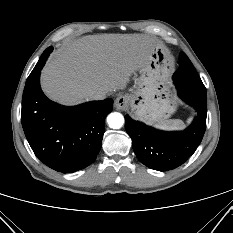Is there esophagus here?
Segmentation results:
<instances>
[{
    "label": "esophagus",
    "mask_w": 233,
    "mask_h": 233,
    "mask_svg": "<svg viewBox=\"0 0 233 233\" xmlns=\"http://www.w3.org/2000/svg\"><path fill=\"white\" fill-rule=\"evenodd\" d=\"M129 105V98L127 96H118L114 101V106L117 110H124Z\"/></svg>",
    "instance_id": "esophagus-1"
}]
</instances>
